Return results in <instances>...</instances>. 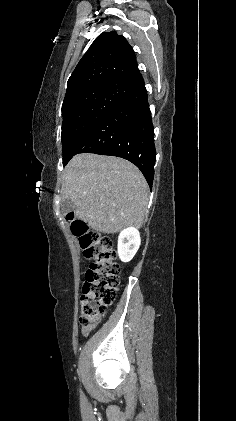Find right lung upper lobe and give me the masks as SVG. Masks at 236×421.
<instances>
[{"instance_id":"1","label":"right lung upper lobe","mask_w":236,"mask_h":421,"mask_svg":"<svg viewBox=\"0 0 236 421\" xmlns=\"http://www.w3.org/2000/svg\"><path fill=\"white\" fill-rule=\"evenodd\" d=\"M137 72L135 53L127 40L114 31L102 33L70 76L64 100L86 90L120 86Z\"/></svg>"}]
</instances>
